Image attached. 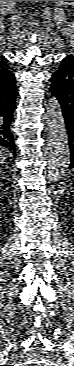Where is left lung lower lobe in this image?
Segmentation results:
<instances>
[{
	"instance_id": "0a47b994",
	"label": "left lung lower lobe",
	"mask_w": 74,
	"mask_h": 366,
	"mask_svg": "<svg viewBox=\"0 0 74 366\" xmlns=\"http://www.w3.org/2000/svg\"><path fill=\"white\" fill-rule=\"evenodd\" d=\"M50 91L62 107L74 166V56L65 57L51 78Z\"/></svg>"
}]
</instances>
